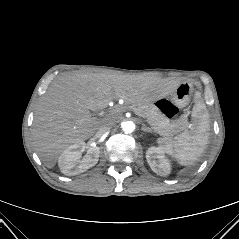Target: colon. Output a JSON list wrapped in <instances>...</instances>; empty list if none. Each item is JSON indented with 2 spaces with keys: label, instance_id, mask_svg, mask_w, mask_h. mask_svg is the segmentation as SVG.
<instances>
[{
  "label": "colon",
  "instance_id": "colon-1",
  "mask_svg": "<svg viewBox=\"0 0 239 239\" xmlns=\"http://www.w3.org/2000/svg\"><path fill=\"white\" fill-rule=\"evenodd\" d=\"M157 105L168 118H174L178 114L177 107L168 100L162 99Z\"/></svg>",
  "mask_w": 239,
  "mask_h": 239
}]
</instances>
